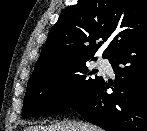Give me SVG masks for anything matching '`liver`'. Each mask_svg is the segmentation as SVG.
Listing matches in <instances>:
<instances>
[{"label":"liver","instance_id":"6515ba94","mask_svg":"<svg viewBox=\"0 0 147 131\" xmlns=\"http://www.w3.org/2000/svg\"><path fill=\"white\" fill-rule=\"evenodd\" d=\"M24 131H101V129L89 123L67 121L50 126H30Z\"/></svg>","mask_w":147,"mask_h":131}]
</instances>
